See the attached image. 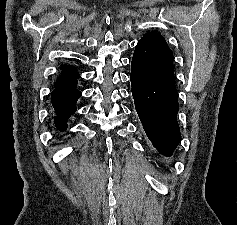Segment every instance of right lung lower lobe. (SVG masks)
I'll use <instances>...</instances> for the list:
<instances>
[{"instance_id":"obj_1","label":"right lung lower lobe","mask_w":237,"mask_h":225,"mask_svg":"<svg viewBox=\"0 0 237 225\" xmlns=\"http://www.w3.org/2000/svg\"><path fill=\"white\" fill-rule=\"evenodd\" d=\"M76 85H54L55 89L51 93L52 105L56 115L54 123L60 131L67 129V120L76 111V101L81 96Z\"/></svg>"}]
</instances>
